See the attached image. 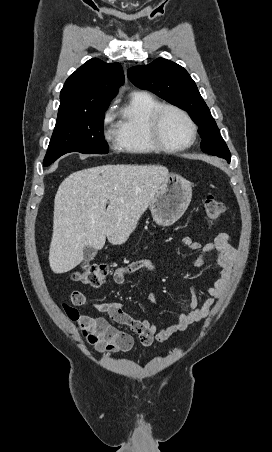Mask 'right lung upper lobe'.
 <instances>
[{
  "mask_svg": "<svg viewBox=\"0 0 272 452\" xmlns=\"http://www.w3.org/2000/svg\"><path fill=\"white\" fill-rule=\"evenodd\" d=\"M123 81L119 63L108 64L97 58L87 61L66 80L60 92L58 117L108 107Z\"/></svg>",
  "mask_w": 272,
  "mask_h": 452,
  "instance_id": "right-lung-upper-lobe-1",
  "label": "right lung upper lobe"
}]
</instances>
